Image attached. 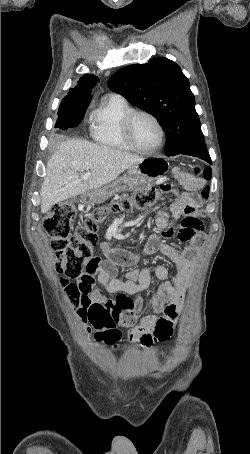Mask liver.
<instances>
[{
	"mask_svg": "<svg viewBox=\"0 0 250 454\" xmlns=\"http://www.w3.org/2000/svg\"><path fill=\"white\" fill-rule=\"evenodd\" d=\"M143 157L86 140L64 141L49 158L41 187V213L55 204L113 182ZM90 171L89 179L80 174Z\"/></svg>",
	"mask_w": 250,
	"mask_h": 454,
	"instance_id": "1",
	"label": "liver"
}]
</instances>
